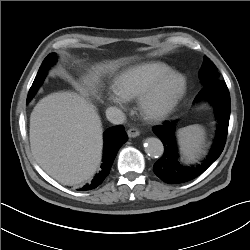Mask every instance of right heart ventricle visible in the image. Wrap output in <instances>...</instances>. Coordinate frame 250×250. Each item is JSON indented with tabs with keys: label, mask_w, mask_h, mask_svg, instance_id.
I'll list each match as a JSON object with an SVG mask.
<instances>
[{
	"label": "right heart ventricle",
	"mask_w": 250,
	"mask_h": 250,
	"mask_svg": "<svg viewBox=\"0 0 250 250\" xmlns=\"http://www.w3.org/2000/svg\"><path fill=\"white\" fill-rule=\"evenodd\" d=\"M173 69L160 61L133 65L120 72L113 80V88L127 99L138 98L154 81Z\"/></svg>",
	"instance_id": "obj_1"
}]
</instances>
